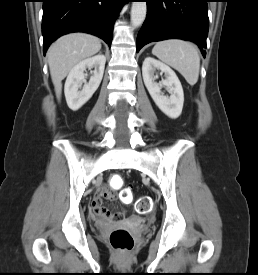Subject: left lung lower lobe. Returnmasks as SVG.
Here are the masks:
<instances>
[{
  "label": "left lung lower lobe",
  "mask_w": 258,
  "mask_h": 275,
  "mask_svg": "<svg viewBox=\"0 0 258 275\" xmlns=\"http://www.w3.org/2000/svg\"><path fill=\"white\" fill-rule=\"evenodd\" d=\"M146 20L138 33L137 52L146 44L170 38L189 40L206 55L208 0H146Z\"/></svg>",
  "instance_id": "1"
}]
</instances>
